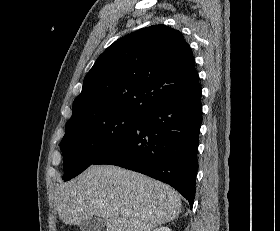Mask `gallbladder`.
<instances>
[{"label":"gallbladder","mask_w":280,"mask_h":231,"mask_svg":"<svg viewBox=\"0 0 280 231\" xmlns=\"http://www.w3.org/2000/svg\"><path fill=\"white\" fill-rule=\"evenodd\" d=\"M80 229L82 231H101L103 227H105V221L102 217H90V219H84V221H80L78 223Z\"/></svg>","instance_id":"gallbladder-1"}]
</instances>
